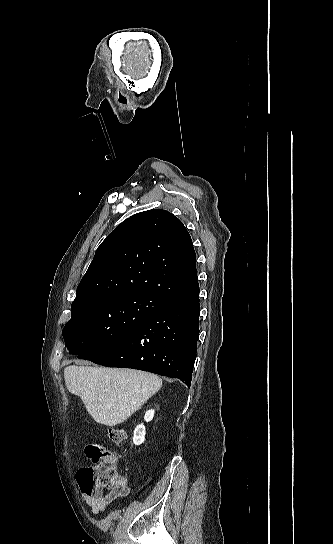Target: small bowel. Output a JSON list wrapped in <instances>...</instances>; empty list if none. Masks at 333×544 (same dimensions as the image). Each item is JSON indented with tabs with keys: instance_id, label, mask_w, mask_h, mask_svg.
Segmentation results:
<instances>
[{
	"instance_id": "c3829d8e",
	"label": "small bowel",
	"mask_w": 333,
	"mask_h": 544,
	"mask_svg": "<svg viewBox=\"0 0 333 544\" xmlns=\"http://www.w3.org/2000/svg\"><path fill=\"white\" fill-rule=\"evenodd\" d=\"M130 489L127 486V479L121 477L120 482L113 488L105 492V489L99 488L92 492L84 489L81 490V495L87 505L91 508L93 515H99L106 509V506L118 497L127 496Z\"/></svg>"
}]
</instances>
